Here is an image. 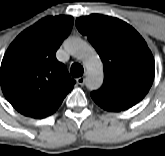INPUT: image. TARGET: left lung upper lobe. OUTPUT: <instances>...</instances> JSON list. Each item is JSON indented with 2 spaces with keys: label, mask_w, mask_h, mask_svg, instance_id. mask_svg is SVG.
I'll use <instances>...</instances> for the list:
<instances>
[{
  "label": "left lung upper lobe",
  "mask_w": 165,
  "mask_h": 156,
  "mask_svg": "<svg viewBox=\"0 0 165 156\" xmlns=\"http://www.w3.org/2000/svg\"><path fill=\"white\" fill-rule=\"evenodd\" d=\"M76 27L104 65V83L91 97L116 111L140 102L155 75L153 55L141 35L126 22L100 14L77 18Z\"/></svg>",
  "instance_id": "left-lung-upper-lobe-1"
}]
</instances>
